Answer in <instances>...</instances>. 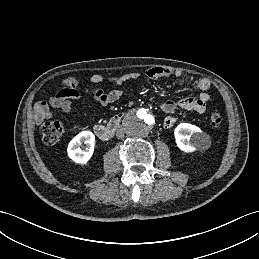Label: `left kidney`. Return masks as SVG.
<instances>
[{
	"label": "left kidney",
	"instance_id": "1",
	"mask_svg": "<svg viewBox=\"0 0 259 259\" xmlns=\"http://www.w3.org/2000/svg\"><path fill=\"white\" fill-rule=\"evenodd\" d=\"M178 148L184 152H193L202 147L201 140L206 137L201 129L188 123H180L174 131Z\"/></svg>",
	"mask_w": 259,
	"mask_h": 259
}]
</instances>
